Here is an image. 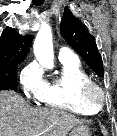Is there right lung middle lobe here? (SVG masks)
I'll return each mask as SVG.
<instances>
[{
	"label": "right lung middle lobe",
	"instance_id": "obj_1",
	"mask_svg": "<svg viewBox=\"0 0 117 136\" xmlns=\"http://www.w3.org/2000/svg\"><path fill=\"white\" fill-rule=\"evenodd\" d=\"M17 65L5 64L0 66V91L7 89L17 91Z\"/></svg>",
	"mask_w": 117,
	"mask_h": 136
}]
</instances>
